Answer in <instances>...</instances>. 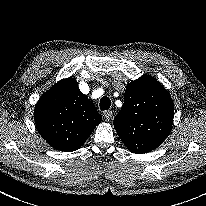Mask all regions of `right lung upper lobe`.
<instances>
[{
    "instance_id": "cb5924a9",
    "label": "right lung upper lobe",
    "mask_w": 206,
    "mask_h": 206,
    "mask_svg": "<svg viewBox=\"0 0 206 206\" xmlns=\"http://www.w3.org/2000/svg\"><path fill=\"white\" fill-rule=\"evenodd\" d=\"M34 116L39 134L53 148L65 152L80 148L102 119L73 78L60 80L45 92Z\"/></svg>"
}]
</instances>
